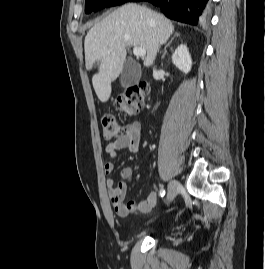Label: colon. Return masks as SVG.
<instances>
[{
    "instance_id": "obj_1",
    "label": "colon",
    "mask_w": 265,
    "mask_h": 269,
    "mask_svg": "<svg viewBox=\"0 0 265 269\" xmlns=\"http://www.w3.org/2000/svg\"><path fill=\"white\" fill-rule=\"evenodd\" d=\"M147 92L145 84L135 85L118 96L115 100V108L127 115L137 114L143 105L144 96ZM122 134V127L111 114L102 117V136L106 141L113 140Z\"/></svg>"
}]
</instances>
